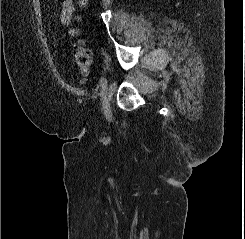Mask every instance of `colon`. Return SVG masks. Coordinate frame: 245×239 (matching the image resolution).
Here are the masks:
<instances>
[{"mask_svg": "<svg viewBox=\"0 0 245 239\" xmlns=\"http://www.w3.org/2000/svg\"><path fill=\"white\" fill-rule=\"evenodd\" d=\"M88 0H79L78 4L80 9H83L87 5ZM81 21V15L76 16L77 24L69 31L70 35L75 39L73 44V56L77 67L81 73V81L85 83L88 80L91 66V54L86 47L85 42L81 39V29L78 23Z\"/></svg>", "mask_w": 245, "mask_h": 239, "instance_id": "5ec220e1", "label": "colon"}]
</instances>
